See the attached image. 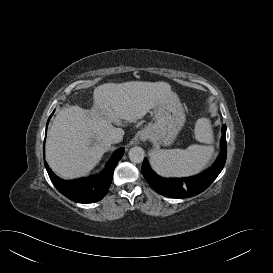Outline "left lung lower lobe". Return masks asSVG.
Listing matches in <instances>:
<instances>
[{"label":"left lung lower lobe","mask_w":273,"mask_h":273,"mask_svg":"<svg viewBox=\"0 0 273 273\" xmlns=\"http://www.w3.org/2000/svg\"><path fill=\"white\" fill-rule=\"evenodd\" d=\"M220 154L211 168L203 173L188 178H163L157 175L145 158L141 168L144 178L159 194L171 198L193 197L205 189L217 178L222 171L227 155L226 125L222 126V139Z\"/></svg>","instance_id":"1"}]
</instances>
